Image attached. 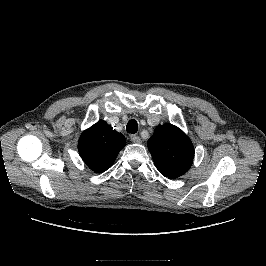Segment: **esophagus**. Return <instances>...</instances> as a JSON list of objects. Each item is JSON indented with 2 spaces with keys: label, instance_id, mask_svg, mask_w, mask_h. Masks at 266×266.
<instances>
[{
  "label": "esophagus",
  "instance_id": "esophagus-1",
  "mask_svg": "<svg viewBox=\"0 0 266 266\" xmlns=\"http://www.w3.org/2000/svg\"><path fill=\"white\" fill-rule=\"evenodd\" d=\"M130 138H131V141L134 143L140 144L142 142L139 136L131 135Z\"/></svg>",
  "mask_w": 266,
  "mask_h": 266
}]
</instances>
